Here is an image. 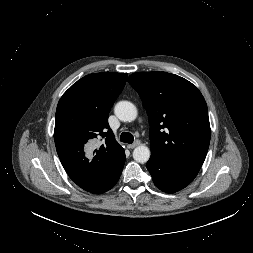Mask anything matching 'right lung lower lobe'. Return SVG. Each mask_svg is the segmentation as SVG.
<instances>
[{
    "label": "right lung lower lobe",
    "instance_id": "1",
    "mask_svg": "<svg viewBox=\"0 0 253 253\" xmlns=\"http://www.w3.org/2000/svg\"><path fill=\"white\" fill-rule=\"evenodd\" d=\"M124 163H125V155L121 158L120 162L117 164V166L110 174V176L107 178V180L103 184L95 188L91 193L101 194L113 188L114 185L117 183L118 179L120 178Z\"/></svg>",
    "mask_w": 253,
    "mask_h": 253
}]
</instances>
